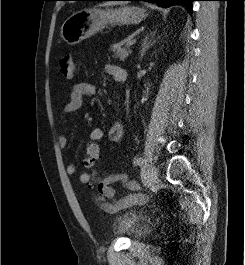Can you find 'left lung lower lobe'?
Instances as JSON below:
<instances>
[{"label": "left lung lower lobe", "mask_w": 245, "mask_h": 265, "mask_svg": "<svg viewBox=\"0 0 245 265\" xmlns=\"http://www.w3.org/2000/svg\"><path fill=\"white\" fill-rule=\"evenodd\" d=\"M89 1H110V0H89ZM122 1H146V2H156L158 6L170 7L173 5H184L191 12L192 11V1L196 0H122Z\"/></svg>", "instance_id": "0a47b994"}]
</instances>
